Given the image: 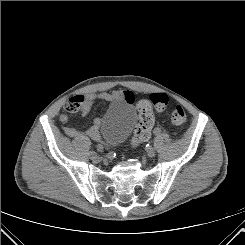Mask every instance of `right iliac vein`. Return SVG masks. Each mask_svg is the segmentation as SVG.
I'll return each mask as SVG.
<instances>
[{"label": "right iliac vein", "instance_id": "63e3f726", "mask_svg": "<svg viewBox=\"0 0 245 245\" xmlns=\"http://www.w3.org/2000/svg\"><path fill=\"white\" fill-rule=\"evenodd\" d=\"M89 156L91 159H96L97 158V153L95 151H90Z\"/></svg>", "mask_w": 245, "mask_h": 245}]
</instances>
